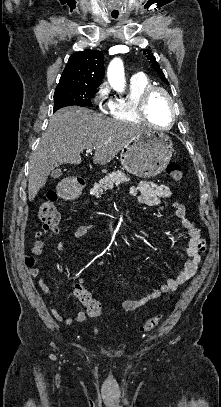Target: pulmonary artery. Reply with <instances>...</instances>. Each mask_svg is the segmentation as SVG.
<instances>
[{
    "instance_id": "e3ab8cb5",
    "label": "pulmonary artery",
    "mask_w": 221,
    "mask_h": 407,
    "mask_svg": "<svg viewBox=\"0 0 221 407\" xmlns=\"http://www.w3.org/2000/svg\"><path fill=\"white\" fill-rule=\"evenodd\" d=\"M141 75H142L141 72H137V73L134 74V76H141Z\"/></svg>"
}]
</instances>
